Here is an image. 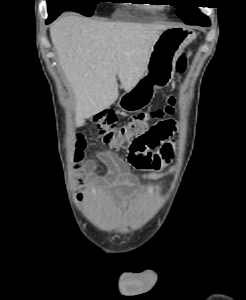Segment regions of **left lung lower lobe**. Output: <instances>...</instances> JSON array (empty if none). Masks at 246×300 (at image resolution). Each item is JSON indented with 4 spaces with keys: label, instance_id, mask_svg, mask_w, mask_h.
<instances>
[{
    "label": "left lung lower lobe",
    "instance_id": "0a47b994",
    "mask_svg": "<svg viewBox=\"0 0 246 300\" xmlns=\"http://www.w3.org/2000/svg\"><path fill=\"white\" fill-rule=\"evenodd\" d=\"M200 26H210V25H200Z\"/></svg>",
    "mask_w": 246,
    "mask_h": 300
}]
</instances>
